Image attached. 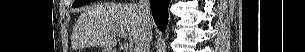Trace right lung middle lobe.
Masks as SVG:
<instances>
[{"mask_svg": "<svg viewBox=\"0 0 305 52\" xmlns=\"http://www.w3.org/2000/svg\"><path fill=\"white\" fill-rule=\"evenodd\" d=\"M92 0H76L74 3H73V7H78V6H81V5H84L88 2H90Z\"/></svg>", "mask_w": 305, "mask_h": 52, "instance_id": "dd1d6c3e", "label": "right lung middle lobe"}]
</instances>
